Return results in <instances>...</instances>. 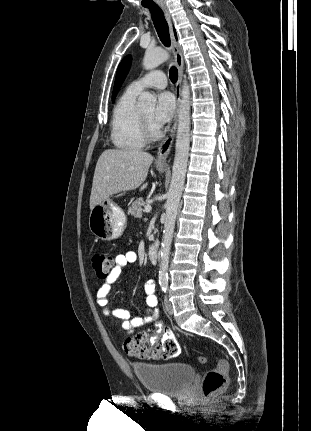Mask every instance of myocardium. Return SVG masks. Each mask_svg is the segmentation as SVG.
<instances>
[{"label": "myocardium", "mask_w": 311, "mask_h": 431, "mask_svg": "<svg viewBox=\"0 0 311 431\" xmlns=\"http://www.w3.org/2000/svg\"><path fill=\"white\" fill-rule=\"evenodd\" d=\"M140 126H141L142 138L145 142L152 143L160 139L161 137L160 132L144 116L143 113H140Z\"/></svg>", "instance_id": "f54148a6"}]
</instances>
